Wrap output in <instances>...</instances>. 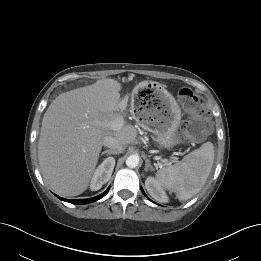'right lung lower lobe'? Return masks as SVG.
I'll return each mask as SVG.
<instances>
[{
    "instance_id": "98d812e1",
    "label": "right lung lower lobe",
    "mask_w": 261,
    "mask_h": 261,
    "mask_svg": "<svg viewBox=\"0 0 261 261\" xmlns=\"http://www.w3.org/2000/svg\"><path fill=\"white\" fill-rule=\"evenodd\" d=\"M109 191V188L102 194L96 196V197H93V198H89V199H73V200H69V199H64V198H61V197H58L59 199L61 200H64V201H67V202H70V203H73V204H87V203H91V202H94V201H97L99 199H101L102 197H104Z\"/></svg>"
}]
</instances>
